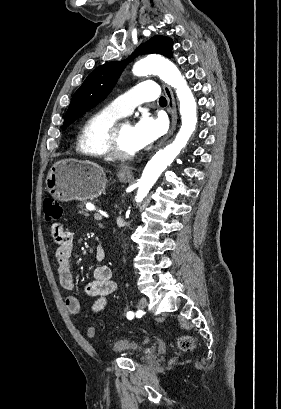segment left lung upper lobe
Returning a JSON list of instances; mask_svg holds the SVG:
<instances>
[{
	"mask_svg": "<svg viewBox=\"0 0 281 409\" xmlns=\"http://www.w3.org/2000/svg\"><path fill=\"white\" fill-rule=\"evenodd\" d=\"M172 44L173 42L169 37L154 36L128 59L105 63L97 67L72 97L62 130L107 97L128 62L140 54L158 53L170 58Z\"/></svg>",
	"mask_w": 281,
	"mask_h": 409,
	"instance_id": "left-lung-upper-lobe-1",
	"label": "left lung upper lobe"
}]
</instances>
